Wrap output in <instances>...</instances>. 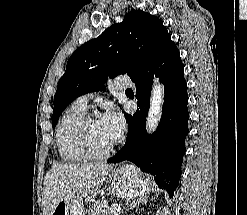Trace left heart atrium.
I'll use <instances>...</instances> for the list:
<instances>
[{"mask_svg":"<svg viewBox=\"0 0 247 215\" xmlns=\"http://www.w3.org/2000/svg\"><path fill=\"white\" fill-rule=\"evenodd\" d=\"M100 122L114 141H117L125 130L124 118L116 109L106 111Z\"/></svg>","mask_w":247,"mask_h":215,"instance_id":"left-heart-atrium-1","label":"left heart atrium"}]
</instances>
